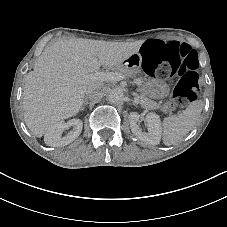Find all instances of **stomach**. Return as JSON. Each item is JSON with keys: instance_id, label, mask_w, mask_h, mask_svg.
Instances as JSON below:
<instances>
[{"instance_id": "1", "label": "stomach", "mask_w": 227, "mask_h": 227, "mask_svg": "<svg viewBox=\"0 0 227 227\" xmlns=\"http://www.w3.org/2000/svg\"><path fill=\"white\" fill-rule=\"evenodd\" d=\"M141 91L143 92V94L148 93L147 88L144 85L141 87Z\"/></svg>"}]
</instances>
